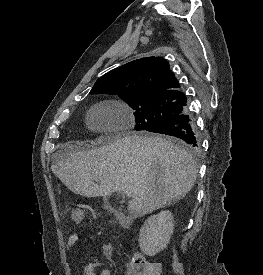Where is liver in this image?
<instances>
[{"mask_svg":"<svg viewBox=\"0 0 263 275\" xmlns=\"http://www.w3.org/2000/svg\"><path fill=\"white\" fill-rule=\"evenodd\" d=\"M91 150L56 154L52 172L72 192L107 197L129 191L130 216L163 208L186 195L197 178V165L184 148L158 136L101 138Z\"/></svg>","mask_w":263,"mask_h":275,"instance_id":"1","label":"liver"}]
</instances>
